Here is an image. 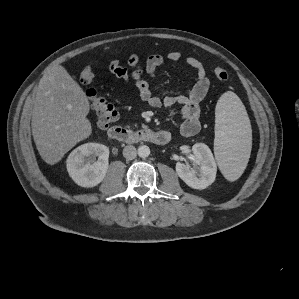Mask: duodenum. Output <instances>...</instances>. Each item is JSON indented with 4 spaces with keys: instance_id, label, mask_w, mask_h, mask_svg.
I'll return each mask as SVG.
<instances>
[{
    "instance_id": "410a0bca",
    "label": "duodenum",
    "mask_w": 299,
    "mask_h": 299,
    "mask_svg": "<svg viewBox=\"0 0 299 299\" xmlns=\"http://www.w3.org/2000/svg\"><path fill=\"white\" fill-rule=\"evenodd\" d=\"M108 136L113 140L126 144H134L139 142L165 144L169 141L168 134L163 131H154L148 128L130 130L117 125L108 130Z\"/></svg>"
}]
</instances>
